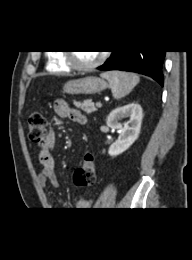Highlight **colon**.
Returning a JSON list of instances; mask_svg holds the SVG:
<instances>
[{
    "instance_id": "5ec220e1",
    "label": "colon",
    "mask_w": 192,
    "mask_h": 260,
    "mask_svg": "<svg viewBox=\"0 0 192 260\" xmlns=\"http://www.w3.org/2000/svg\"><path fill=\"white\" fill-rule=\"evenodd\" d=\"M46 121L41 112H33L28 118V137L37 147H43L46 140ZM73 180L78 187H87L96 180V168L93 157L87 154L75 170Z\"/></svg>"
}]
</instances>
